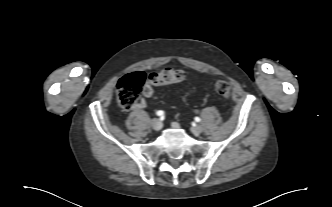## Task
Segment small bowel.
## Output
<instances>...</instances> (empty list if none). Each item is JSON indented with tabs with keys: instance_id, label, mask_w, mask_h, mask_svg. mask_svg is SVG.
<instances>
[{
	"instance_id": "c3829d8e",
	"label": "small bowel",
	"mask_w": 332,
	"mask_h": 207,
	"mask_svg": "<svg viewBox=\"0 0 332 207\" xmlns=\"http://www.w3.org/2000/svg\"><path fill=\"white\" fill-rule=\"evenodd\" d=\"M153 95V89L150 85H147L144 89L143 98L134 106V110L144 109L147 105V100Z\"/></svg>"
}]
</instances>
